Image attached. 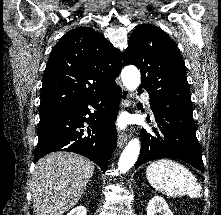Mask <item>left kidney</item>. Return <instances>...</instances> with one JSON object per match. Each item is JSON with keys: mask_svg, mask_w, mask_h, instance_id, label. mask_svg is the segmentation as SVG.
Here are the masks:
<instances>
[{"mask_svg": "<svg viewBox=\"0 0 221 215\" xmlns=\"http://www.w3.org/2000/svg\"><path fill=\"white\" fill-rule=\"evenodd\" d=\"M147 215H173L161 196H154L148 203Z\"/></svg>", "mask_w": 221, "mask_h": 215, "instance_id": "left-kidney-1", "label": "left kidney"}]
</instances>
